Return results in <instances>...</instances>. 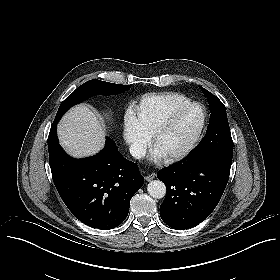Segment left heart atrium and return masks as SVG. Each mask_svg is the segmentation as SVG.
I'll return each instance as SVG.
<instances>
[{"mask_svg": "<svg viewBox=\"0 0 280 280\" xmlns=\"http://www.w3.org/2000/svg\"><path fill=\"white\" fill-rule=\"evenodd\" d=\"M151 161L156 165L164 163L163 156L158 152L152 154Z\"/></svg>", "mask_w": 280, "mask_h": 280, "instance_id": "obj_1", "label": "left heart atrium"}]
</instances>
